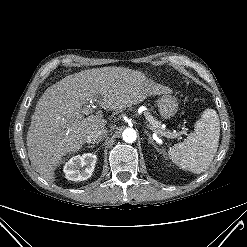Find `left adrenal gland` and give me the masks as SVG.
Returning <instances> with one entry per match:
<instances>
[{
  "label": "left adrenal gland",
  "mask_w": 247,
  "mask_h": 247,
  "mask_svg": "<svg viewBox=\"0 0 247 247\" xmlns=\"http://www.w3.org/2000/svg\"><path fill=\"white\" fill-rule=\"evenodd\" d=\"M144 133L148 136V143L151 144L157 151H159L157 145L153 141V139H152L151 135L149 134V132L147 130H145Z\"/></svg>",
  "instance_id": "obj_1"
}]
</instances>
